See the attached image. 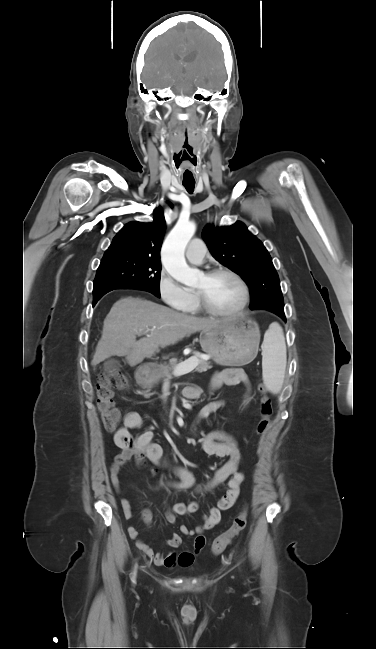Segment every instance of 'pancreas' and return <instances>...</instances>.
<instances>
[{
    "instance_id": "cf45deb5",
    "label": "pancreas",
    "mask_w": 376,
    "mask_h": 649,
    "mask_svg": "<svg viewBox=\"0 0 376 649\" xmlns=\"http://www.w3.org/2000/svg\"><path fill=\"white\" fill-rule=\"evenodd\" d=\"M182 362L178 363L176 360H171L169 364H160L157 365V373L153 380L151 381V384H156L166 378L171 379L172 375L174 374L172 370H174L179 364ZM212 368V366L205 360L198 359V365L195 367V372L202 373L207 371L208 369Z\"/></svg>"
}]
</instances>
